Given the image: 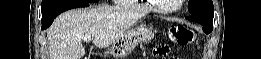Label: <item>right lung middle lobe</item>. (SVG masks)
<instances>
[{"label": "right lung middle lobe", "mask_w": 261, "mask_h": 59, "mask_svg": "<svg viewBox=\"0 0 261 59\" xmlns=\"http://www.w3.org/2000/svg\"><path fill=\"white\" fill-rule=\"evenodd\" d=\"M76 1H83V2H97L98 0H42V16L46 15L47 13L59 8L60 6Z\"/></svg>", "instance_id": "1"}]
</instances>
